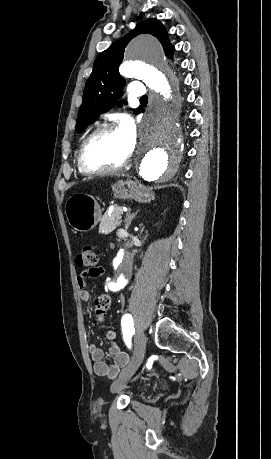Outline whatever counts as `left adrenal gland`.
<instances>
[{
	"label": "left adrenal gland",
	"mask_w": 271,
	"mask_h": 459,
	"mask_svg": "<svg viewBox=\"0 0 271 459\" xmlns=\"http://www.w3.org/2000/svg\"><path fill=\"white\" fill-rule=\"evenodd\" d=\"M137 212H135V214H131V210L129 208L128 212H126V216H125V224H124V228L125 229H128L130 224H131V220H133V218H135Z\"/></svg>",
	"instance_id": "obj_1"
}]
</instances>
